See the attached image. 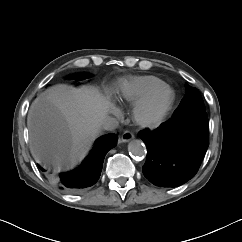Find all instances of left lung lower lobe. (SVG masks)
Instances as JSON below:
<instances>
[{
  "label": "left lung lower lobe",
  "instance_id": "obj_1",
  "mask_svg": "<svg viewBox=\"0 0 242 242\" xmlns=\"http://www.w3.org/2000/svg\"><path fill=\"white\" fill-rule=\"evenodd\" d=\"M138 135L147 146L144 176L156 186L177 187L199 169L209 146L208 118H192L177 126L167 121Z\"/></svg>",
  "mask_w": 242,
  "mask_h": 242
}]
</instances>
